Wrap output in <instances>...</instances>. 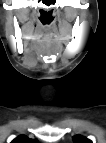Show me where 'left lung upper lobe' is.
I'll use <instances>...</instances> for the list:
<instances>
[{
  "label": "left lung upper lobe",
  "instance_id": "obj_1",
  "mask_svg": "<svg viewBox=\"0 0 106 143\" xmlns=\"http://www.w3.org/2000/svg\"><path fill=\"white\" fill-rule=\"evenodd\" d=\"M74 143H91V141L81 135L73 136Z\"/></svg>",
  "mask_w": 106,
  "mask_h": 143
}]
</instances>
